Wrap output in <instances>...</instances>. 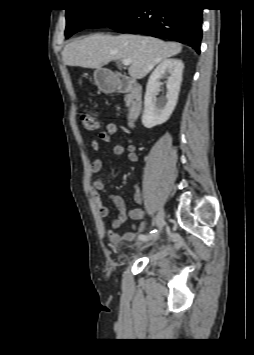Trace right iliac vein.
Here are the masks:
<instances>
[{
  "label": "right iliac vein",
  "instance_id": "obj_1",
  "mask_svg": "<svg viewBox=\"0 0 254 355\" xmlns=\"http://www.w3.org/2000/svg\"><path fill=\"white\" fill-rule=\"evenodd\" d=\"M164 217H165V212L164 210L161 208L159 209L157 215H156V219H155V224L158 228H161L164 224ZM146 245L145 242H140L139 246L140 247H144Z\"/></svg>",
  "mask_w": 254,
  "mask_h": 355
}]
</instances>
